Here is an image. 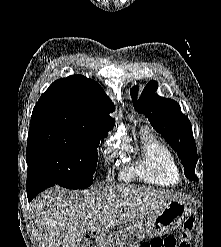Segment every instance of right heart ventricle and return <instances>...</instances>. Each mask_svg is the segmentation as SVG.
Listing matches in <instances>:
<instances>
[{
    "instance_id": "obj_1",
    "label": "right heart ventricle",
    "mask_w": 221,
    "mask_h": 247,
    "mask_svg": "<svg viewBox=\"0 0 221 247\" xmlns=\"http://www.w3.org/2000/svg\"><path fill=\"white\" fill-rule=\"evenodd\" d=\"M123 181L140 180L158 186H174L180 175L171 150L149 130L140 132V154L120 172Z\"/></svg>"
}]
</instances>
